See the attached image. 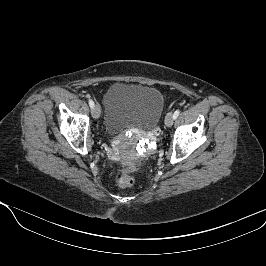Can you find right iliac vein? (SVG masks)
I'll return each mask as SVG.
<instances>
[{
  "mask_svg": "<svg viewBox=\"0 0 266 266\" xmlns=\"http://www.w3.org/2000/svg\"><path fill=\"white\" fill-rule=\"evenodd\" d=\"M91 114H92L93 118H95V119H98L100 117L101 109H100L99 105H97V104L94 105V107L91 110Z\"/></svg>",
  "mask_w": 266,
  "mask_h": 266,
  "instance_id": "obj_1",
  "label": "right iliac vein"
}]
</instances>
